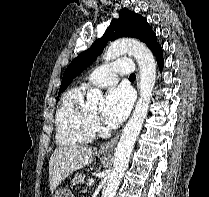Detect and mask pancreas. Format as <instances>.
<instances>
[{
  "mask_svg": "<svg viewBox=\"0 0 209 197\" xmlns=\"http://www.w3.org/2000/svg\"><path fill=\"white\" fill-rule=\"evenodd\" d=\"M84 178H85V173L76 174L71 181V186L73 187L76 184L83 182Z\"/></svg>",
  "mask_w": 209,
  "mask_h": 197,
  "instance_id": "cf45deb5",
  "label": "pancreas"
}]
</instances>
